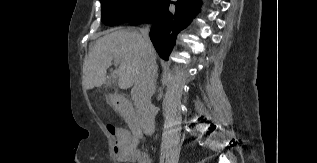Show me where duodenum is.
<instances>
[{"label":"duodenum","instance_id":"obj_1","mask_svg":"<svg viewBox=\"0 0 317 163\" xmlns=\"http://www.w3.org/2000/svg\"><path fill=\"white\" fill-rule=\"evenodd\" d=\"M113 105L118 110L121 117L129 124L131 133L133 135V143L136 146L137 139L142 135V127L140 121L129 101L121 94H112L111 96ZM118 146L121 142L118 141Z\"/></svg>","mask_w":317,"mask_h":163}]
</instances>
